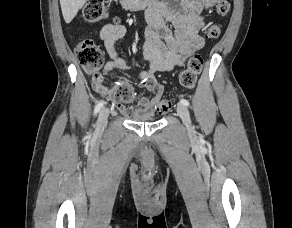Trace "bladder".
Wrapping results in <instances>:
<instances>
[{
	"instance_id": "1",
	"label": "bladder",
	"mask_w": 292,
	"mask_h": 228,
	"mask_svg": "<svg viewBox=\"0 0 292 228\" xmlns=\"http://www.w3.org/2000/svg\"><path fill=\"white\" fill-rule=\"evenodd\" d=\"M132 119L133 121H136V122H153L156 120V118L153 116H143V115H136Z\"/></svg>"
}]
</instances>
